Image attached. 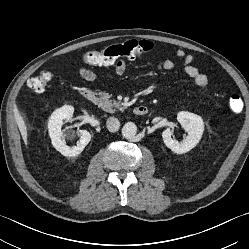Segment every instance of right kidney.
Segmentation results:
<instances>
[{
	"instance_id": "right-kidney-1",
	"label": "right kidney",
	"mask_w": 249,
	"mask_h": 249,
	"mask_svg": "<svg viewBox=\"0 0 249 249\" xmlns=\"http://www.w3.org/2000/svg\"><path fill=\"white\" fill-rule=\"evenodd\" d=\"M73 112L74 108L72 106L65 105L54 111L48 122V131L52 145L57 151L67 157L79 155L91 140V134L87 130H79L80 140L76 146H67L65 140L62 139L65 135L61 130L63 120H71Z\"/></svg>"
}]
</instances>
